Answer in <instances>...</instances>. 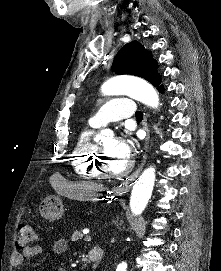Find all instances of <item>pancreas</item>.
Here are the masks:
<instances>
[{
    "label": "pancreas",
    "instance_id": "1",
    "mask_svg": "<svg viewBox=\"0 0 221 271\" xmlns=\"http://www.w3.org/2000/svg\"><path fill=\"white\" fill-rule=\"evenodd\" d=\"M82 235L83 233H81L79 229H76V231L73 233V237H71V242H81Z\"/></svg>",
    "mask_w": 221,
    "mask_h": 271
}]
</instances>
